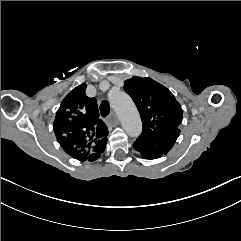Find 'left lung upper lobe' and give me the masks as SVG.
<instances>
[{
	"mask_svg": "<svg viewBox=\"0 0 241 241\" xmlns=\"http://www.w3.org/2000/svg\"><path fill=\"white\" fill-rule=\"evenodd\" d=\"M124 90L132 97L143 122L135 142L156 148L165 135L180 131L182 108L169 89L149 77L135 76L125 81Z\"/></svg>",
	"mask_w": 241,
	"mask_h": 241,
	"instance_id": "obj_1",
	"label": "left lung upper lobe"
}]
</instances>
